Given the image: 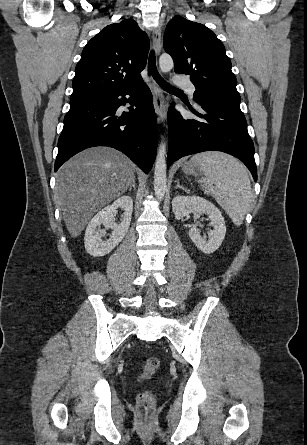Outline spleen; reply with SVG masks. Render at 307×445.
<instances>
[{
	"instance_id": "1",
	"label": "spleen",
	"mask_w": 307,
	"mask_h": 445,
	"mask_svg": "<svg viewBox=\"0 0 307 445\" xmlns=\"http://www.w3.org/2000/svg\"><path fill=\"white\" fill-rule=\"evenodd\" d=\"M191 162L204 174L203 190L226 210L234 225L240 227L248 210L254 206L251 182L246 166L234 156L218 150L194 154ZM215 184V186H213Z\"/></svg>"
}]
</instances>
